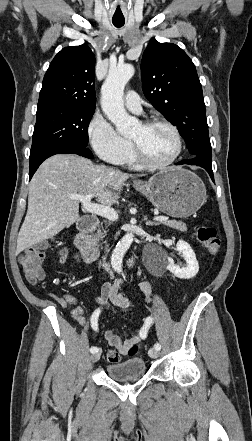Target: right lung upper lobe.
Instances as JSON below:
<instances>
[{
    "instance_id": "obj_1",
    "label": "right lung upper lobe",
    "mask_w": 252,
    "mask_h": 441,
    "mask_svg": "<svg viewBox=\"0 0 252 441\" xmlns=\"http://www.w3.org/2000/svg\"><path fill=\"white\" fill-rule=\"evenodd\" d=\"M95 62L85 44L63 48L44 76L37 108L62 105L95 109Z\"/></svg>"
}]
</instances>
